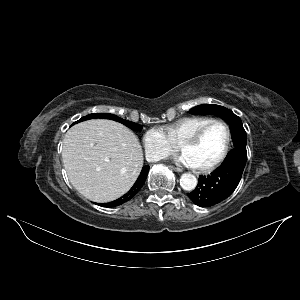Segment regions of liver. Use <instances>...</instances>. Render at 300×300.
<instances>
[{"mask_svg":"<svg viewBox=\"0 0 300 300\" xmlns=\"http://www.w3.org/2000/svg\"><path fill=\"white\" fill-rule=\"evenodd\" d=\"M62 161L73 187L87 199L104 203L130 190L141 172L143 151L126 126L92 119L67 131Z\"/></svg>","mask_w":300,"mask_h":300,"instance_id":"liver-1","label":"liver"}]
</instances>
